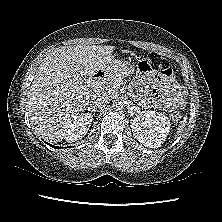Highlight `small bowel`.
I'll list each match as a JSON object with an SVG mask.
<instances>
[{"label": "small bowel", "instance_id": "small-bowel-1", "mask_svg": "<svg viewBox=\"0 0 222 222\" xmlns=\"http://www.w3.org/2000/svg\"><path fill=\"white\" fill-rule=\"evenodd\" d=\"M136 88L149 107L169 111L184 105L185 91L176 82L170 68L161 75L142 74ZM147 91L150 95L146 97Z\"/></svg>", "mask_w": 222, "mask_h": 222}]
</instances>
